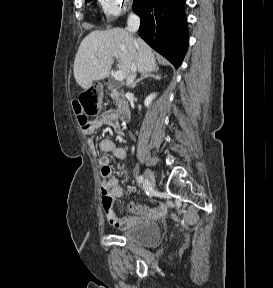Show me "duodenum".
<instances>
[{
  "mask_svg": "<svg viewBox=\"0 0 273 288\" xmlns=\"http://www.w3.org/2000/svg\"><path fill=\"white\" fill-rule=\"evenodd\" d=\"M114 96L118 99V94L116 91L113 92ZM118 118L122 122H128L131 118L130 109L126 102L118 100Z\"/></svg>",
  "mask_w": 273,
  "mask_h": 288,
  "instance_id": "410a0bca",
  "label": "duodenum"
}]
</instances>
